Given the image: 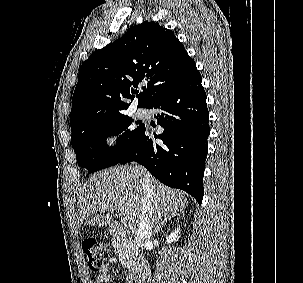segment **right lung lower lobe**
<instances>
[{
  "label": "right lung lower lobe",
  "mask_w": 303,
  "mask_h": 283,
  "mask_svg": "<svg viewBox=\"0 0 303 283\" xmlns=\"http://www.w3.org/2000/svg\"><path fill=\"white\" fill-rule=\"evenodd\" d=\"M201 82L198 73L147 106V109L159 110L155 118L164 128L163 133L150 137L144 128L119 162H138L160 182L186 191L199 204L204 194L206 141L210 133L206 94Z\"/></svg>",
  "instance_id": "obj_1"
}]
</instances>
